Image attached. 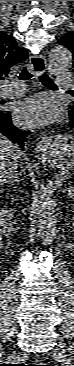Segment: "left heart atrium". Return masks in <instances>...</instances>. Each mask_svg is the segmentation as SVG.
<instances>
[{"label":"left heart atrium","instance_id":"left-heart-atrium-1","mask_svg":"<svg viewBox=\"0 0 74 366\" xmlns=\"http://www.w3.org/2000/svg\"><path fill=\"white\" fill-rule=\"evenodd\" d=\"M59 116L56 101L47 95H36L20 102L15 109L19 124L43 126L54 122Z\"/></svg>","mask_w":74,"mask_h":366}]
</instances>
